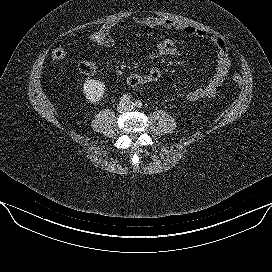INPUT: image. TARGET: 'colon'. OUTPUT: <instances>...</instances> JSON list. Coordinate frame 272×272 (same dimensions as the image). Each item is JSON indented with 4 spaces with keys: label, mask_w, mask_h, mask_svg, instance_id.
Instances as JSON below:
<instances>
[{
    "label": "colon",
    "mask_w": 272,
    "mask_h": 272,
    "mask_svg": "<svg viewBox=\"0 0 272 272\" xmlns=\"http://www.w3.org/2000/svg\"><path fill=\"white\" fill-rule=\"evenodd\" d=\"M84 44L88 46H98L111 48L115 45V39L111 33L104 31L102 29L88 33L83 37ZM68 54V50L63 46H58L53 49L51 55L54 60H62ZM78 72L86 77L93 76L97 71V65L91 61L81 62L78 65ZM164 76V72L160 68H151L142 72L133 73L125 78V83L130 87H137L152 84L159 81ZM233 81L236 84L242 83V78L240 75H234Z\"/></svg>",
    "instance_id": "obj_1"
}]
</instances>
